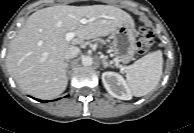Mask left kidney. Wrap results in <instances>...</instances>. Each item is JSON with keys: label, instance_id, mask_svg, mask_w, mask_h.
<instances>
[{"label": "left kidney", "instance_id": "left-kidney-1", "mask_svg": "<svg viewBox=\"0 0 194 133\" xmlns=\"http://www.w3.org/2000/svg\"><path fill=\"white\" fill-rule=\"evenodd\" d=\"M102 82L110 95L121 100H130L131 91L124 78L115 72H104Z\"/></svg>", "mask_w": 194, "mask_h": 133}]
</instances>
